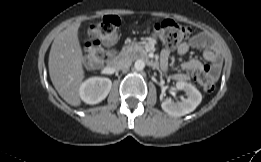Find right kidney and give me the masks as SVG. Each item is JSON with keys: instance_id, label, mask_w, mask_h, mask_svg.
<instances>
[{"instance_id": "ca27d5eb", "label": "right kidney", "mask_w": 261, "mask_h": 162, "mask_svg": "<svg viewBox=\"0 0 261 162\" xmlns=\"http://www.w3.org/2000/svg\"><path fill=\"white\" fill-rule=\"evenodd\" d=\"M112 81L105 77H91L79 87L80 98L87 104H98L109 94Z\"/></svg>"}]
</instances>
